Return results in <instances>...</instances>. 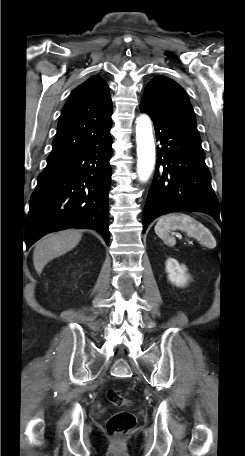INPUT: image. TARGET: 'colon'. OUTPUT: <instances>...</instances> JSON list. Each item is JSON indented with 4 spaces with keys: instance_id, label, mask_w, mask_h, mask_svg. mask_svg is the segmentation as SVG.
Returning a JSON list of instances; mask_svg holds the SVG:
<instances>
[{
    "instance_id": "colon-1",
    "label": "colon",
    "mask_w": 245,
    "mask_h": 456,
    "mask_svg": "<svg viewBox=\"0 0 245 456\" xmlns=\"http://www.w3.org/2000/svg\"><path fill=\"white\" fill-rule=\"evenodd\" d=\"M108 401L117 407L128 406L130 401L122 395L118 389H110L107 392ZM136 425L135 415L126 410L114 413L107 421V431L112 436H121L129 432Z\"/></svg>"
}]
</instances>
